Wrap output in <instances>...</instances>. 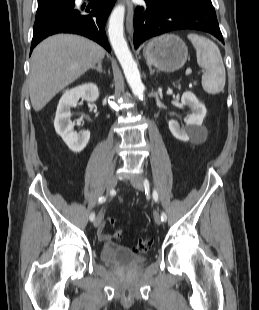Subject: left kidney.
<instances>
[{
    "label": "left kidney",
    "mask_w": 259,
    "mask_h": 310,
    "mask_svg": "<svg viewBox=\"0 0 259 310\" xmlns=\"http://www.w3.org/2000/svg\"><path fill=\"white\" fill-rule=\"evenodd\" d=\"M181 104L191 109V114L185 121L186 126L180 127L177 121L170 120L168 123L169 129L172 135L181 141L197 140L203 120L206 116V107L204 104L200 103L197 97L190 91L183 93Z\"/></svg>",
    "instance_id": "1"
}]
</instances>
